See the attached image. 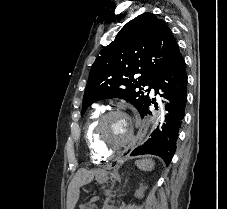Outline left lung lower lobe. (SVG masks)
<instances>
[{
  "instance_id": "obj_1",
  "label": "left lung lower lobe",
  "mask_w": 227,
  "mask_h": 209,
  "mask_svg": "<svg viewBox=\"0 0 227 209\" xmlns=\"http://www.w3.org/2000/svg\"><path fill=\"white\" fill-rule=\"evenodd\" d=\"M158 89L166 93L160 94V96L170 101L166 106L168 114L165 116V123L154 130L151 137L144 144L134 149L131 155H159L168 165L175 153L179 127L185 115L187 100V75L185 61L181 53L160 79L155 89L156 94ZM151 103L153 102L150 100L140 113L142 118L151 113L149 110Z\"/></svg>"
}]
</instances>
